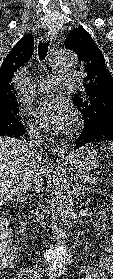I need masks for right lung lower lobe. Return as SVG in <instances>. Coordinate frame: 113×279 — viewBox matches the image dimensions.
<instances>
[{
    "mask_svg": "<svg viewBox=\"0 0 113 279\" xmlns=\"http://www.w3.org/2000/svg\"><path fill=\"white\" fill-rule=\"evenodd\" d=\"M24 134H25V128H23V127L14 128V129L8 130L4 133H0V135L10 136V137H15V138H19V137L23 136Z\"/></svg>",
    "mask_w": 113,
    "mask_h": 279,
    "instance_id": "right-lung-lower-lobe-1",
    "label": "right lung lower lobe"
}]
</instances>
